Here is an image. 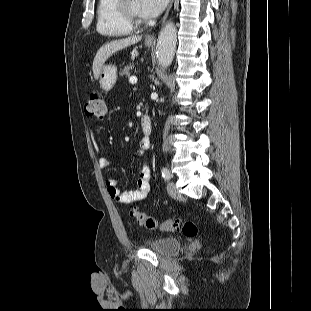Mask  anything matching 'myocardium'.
<instances>
[{
    "label": "myocardium",
    "instance_id": "obj_1",
    "mask_svg": "<svg viewBox=\"0 0 311 311\" xmlns=\"http://www.w3.org/2000/svg\"><path fill=\"white\" fill-rule=\"evenodd\" d=\"M119 9L121 12V15L124 19V21L131 27V28H138L140 26H142L144 24L143 19L138 16L135 15L129 5L128 2L129 0H119Z\"/></svg>",
    "mask_w": 311,
    "mask_h": 311
}]
</instances>
